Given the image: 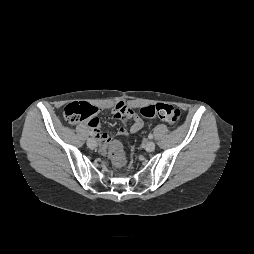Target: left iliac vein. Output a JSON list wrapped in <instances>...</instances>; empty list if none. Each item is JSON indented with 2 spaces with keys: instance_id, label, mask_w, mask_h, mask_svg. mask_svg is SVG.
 <instances>
[{
  "instance_id": "4c4485c4",
  "label": "left iliac vein",
  "mask_w": 254,
  "mask_h": 254,
  "mask_svg": "<svg viewBox=\"0 0 254 254\" xmlns=\"http://www.w3.org/2000/svg\"><path fill=\"white\" fill-rule=\"evenodd\" d=\"M155 149V143L153 141H147V143L145 144V150L147 152H152Z\"/></svg>"
}]
</instances>
